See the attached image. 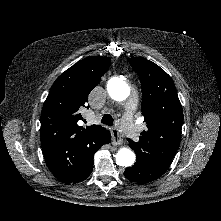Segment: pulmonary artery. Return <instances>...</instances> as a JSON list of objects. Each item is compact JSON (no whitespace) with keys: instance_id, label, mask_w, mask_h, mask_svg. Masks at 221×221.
Listing matches in <instances>:
<instances>
[{"instance_id":"1","label":"pulmonary artery","mask_w":221,"mask_h":221,"mask_svg":"<svg viewBox=\"0 0 221 221\" xmlns=\"http://www.w3.org/2000/svg\"><path fill=\"white\" fill-rule=\"evenodd\" d=\"M131 103L128 104L129 110L125 114L124 117V124H123V130L128 136H133L135 133V127L132 123V110L131 108Z\"/></svg>"}]
</instances>
